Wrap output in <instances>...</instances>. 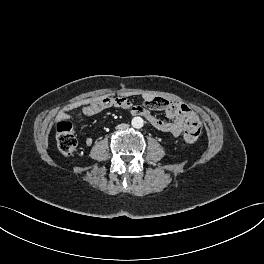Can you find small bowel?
I'll use <instances>...</instances> for the list:
<instances>
[{
  "label": "small bowel",
  "instance_id": "small-bowel-1",
  "mask_svg": "<svg viewBox=\"0 0 264 264\" xmlns=\"http://www.w3.org/2000/svg\"><path fill=\"white\" fill-rule=\"evenodd\" d=\"M131 92H123L118 95H105L92 97L82 101L74 102L65 107L58 113V118L67 119L69 112L79 109L86 116H94L109 108H121L136 115L143 113V116L151 123L153 127L162 132L171 133L178 137L183 128V122L186 118L194 117V112L183 103L175 100H169L161 97H155L149 93L140 94L147 107L133 104L128 97L133 96ZM150 109L163 110L170 121H165L154 116ZM86 145L91 146L92 138L86 139Z\"/></svg>",
  "mask_w": 264,
  "mask_h": 264
}]
</instances>
